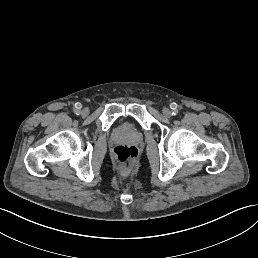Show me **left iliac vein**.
Instances as JSON below:
<instances>
[{
    "label": "left iliac vein",
    "instance_id": "obj_1",
    "mask_svg": "<svg viewBox=\"0 0 258 258\" xmlns=\"http://www.w3.org/2000/svg\"><path fill=\"white\" fill-rule=\"evenodd\" d=\"M163 112H164L165 117H167V118L170 117L171 114H170L169 109L166 108V109H164Z\"/></svg>",
    "mask_w": 258,
    "mask_h": 258
}]
</instances>
